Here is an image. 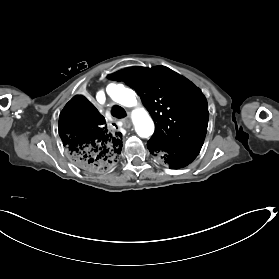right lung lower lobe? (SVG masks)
Segmentation results:
<instances>
[{
    "instance_id": "obj_1",
    "label": "right lung lower lobe",
    "mask_w": 279,
    "mask_h": 279,
    "mask_svg": "<svg viewBox=\"0 0 279 279\" xmlns=\"http://www.w3.org/2000/svg\"><path fill=\"white\" fill-rule=\"evenodd\" d=\"M59 135L74 164L101 173L113 168L122 150V134L84 96L73 97L59 117Z\"/></svg>"
}]
</instances>
